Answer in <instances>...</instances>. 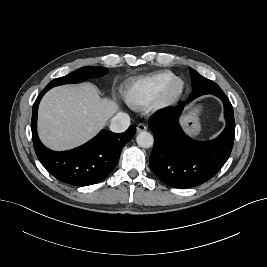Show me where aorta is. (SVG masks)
Returning <instances> with one entry per match:
<instances>
[{"instance_id": "aorta-1", "label": "aorta", "mask_w": 267, "mask_h": 267, "mask_svg": "<svg viewBox=\"0 0 267 267\" xmlns=\"http://www.w3.org/2000/svg\"><path fill=\"white\" fill-rule=\"evenodd\" d=\"M136 141L139 146L143 148H150L153 146L154 138L151 133L142 131L137 135Z\"/></svg>"}]
</instances>
